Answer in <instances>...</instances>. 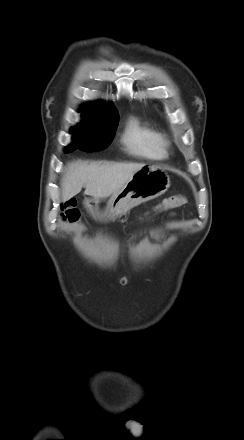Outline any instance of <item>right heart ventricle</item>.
I'll return each mask as SVG.
<instances>
[{
	"label": "right heart ventricle",
	"instance_id": "right-heart-ventricle-1",
	"mask_svg": "<svg viewBox=\"0 0 244 440\" xmlns=\"http://www.w3.org/2000/svg\"><path fill=\"white\" fill-rule=\"evenodd\" d=\"M156 132L144 124L137 117H130L123 129L121 143L130 154L159 159L164 152L158 149L155 143Z\"/></svg>",
	"mask_w": 244,
	"mask_h": 440
}]
</instances>
